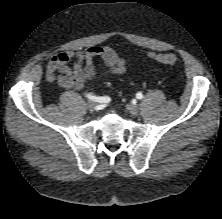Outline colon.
<instances>
[{
    "mask_svg": "<svg viewBox=\"0 0 222 219\" xmlns=\"http://www.w3.org/2000/svg\"><path fill=\"white\" fill-rule=\"evenodd\" d=\"M149 58L152 60L164 64V65H174L178 61V57L174 53H151Z\"/></svg>",
    "mask_w": 222,
    "mask_h": 219,
    "instance_id": "1",
    "label": "colon"
}]
</instances>
